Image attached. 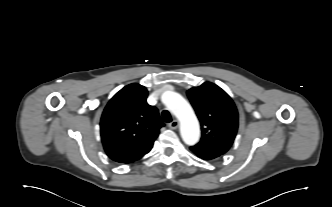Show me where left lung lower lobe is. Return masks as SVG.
<instances>
[{
  "label": "left lung lower lobe",
  "instance_id": "0a47b994",
  "mask_svg": "<svg viewBox=\"0 0 332 207\" xmlns=\"http://www.w3.org/2000/svg\"><path fill=\"white\" fill-rule=\"evenodd\" d=\"M191 151L198 157L204 159V160H211V159H215L218 156H215L213 154H209V153H204V152H199L197 150H194L190 147Z\"/></svg>",
  "mask_w": 332,
  "mask_h": 207
}]
</instances>
